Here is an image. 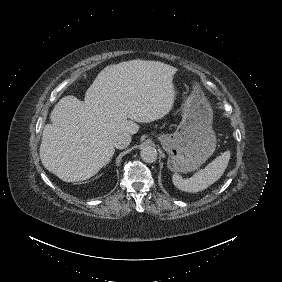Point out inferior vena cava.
<instances>
[{
    "label": "inferior vena cava",
    "mask_w": 282,
    "mask_h": 282,
    "mask_svg": "<svg viewBox=\"0 0 282 282\" xmlns=\"http://www.w3.org/2000/svg\"><path fill=\"white\" fill-rule=\"evenodd\" d=\"M130 143V135L119 134L112 139V144L116 149H124Z\"/></svg>",
    "instance_id": "obj_1"
}]
</instances>
